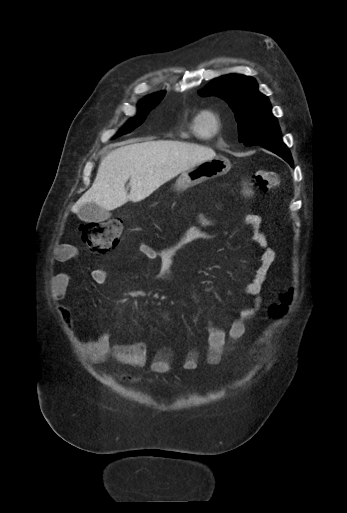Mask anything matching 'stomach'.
Masks as SVG:
<instances>
[{
  "mask_svg": "<svg viewBox=\"0 0 347 513\" xmlns=\"http://www.w3.org/2000/svg\"><path fill=\"white\" fill-rule=\"evenodd\" d=\"M230 168L231 163L227 158L215 156L183 171L176 181V187L178 189H185L195 186L208 179L227 173Z\"/></svg>",
  "mask_w": 347,
  "mask_h": 513,
  "instance_id": "obj_1",
  "label": "stomach"
}]
</instances>
